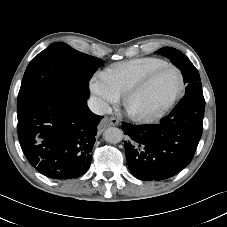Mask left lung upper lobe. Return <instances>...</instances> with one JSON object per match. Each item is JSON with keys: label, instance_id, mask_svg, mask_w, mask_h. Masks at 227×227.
Segmentation results:
<instances>
[{"label": "left lung upper lobe", "instance_id": "1", "mask_svg": "<svg viewBox=\"0 0 227 227\" xmlns=\"http://www.w3.org/2000/svg\"><path fill=\"white\" fill-rule=\"evenodd\" d=\"M157 53L169 58L183 75L187 87L185 96L178 105L199 104L205 106L199 73L188 57L171 47L161 48Z\"/></svg>", "mask_w": 227, "mask_h": 227}]
</instances>
